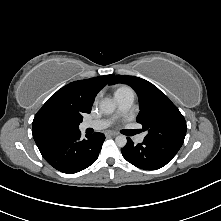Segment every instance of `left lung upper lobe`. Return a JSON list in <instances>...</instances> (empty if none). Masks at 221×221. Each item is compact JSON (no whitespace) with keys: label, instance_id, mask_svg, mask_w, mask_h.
Listing matches in <instances>:
<instances>
[{"label":"left lung upper lobe","instance_id":"obj_1","mask_svg":"<svg viewBox=\"0 0 221 221\" xmlns=\"http://www.w3.org/2000/svg\"><path fill=\"white\" fill-rule=\"evenodd\" d=\"M131 86L139 98L140 112L136 121L147 131L145 139L183 144L186 121L178 108L152 83L135 76L117 75L111 84Z\"/></svg>","mask_w":221,"mask_h":221}]
</instances>
